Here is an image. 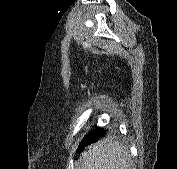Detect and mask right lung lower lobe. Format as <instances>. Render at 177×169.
<instances>
[{
  "label": "right lung lower lobe",
  "instance_id": "obj_1",
  "mask_svg": "<svg viewBox=\"0 0 177 169\" xmlns=\"http://www.w3.org/2000/svg\"><path fill=\"white\" fill-rule=\"evenodd\" d=\"M104 135V130L102 128L96 127L95 130L89 132L80 142L79 148L89 145L92 142L97 141Z\"/></svg>",
  "mask_w": 177,
  "mask_h": 169
}]
</instances>
